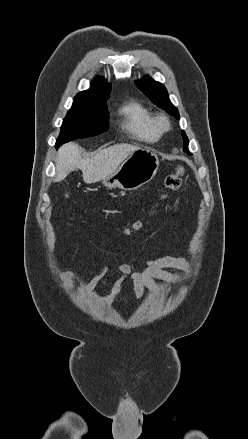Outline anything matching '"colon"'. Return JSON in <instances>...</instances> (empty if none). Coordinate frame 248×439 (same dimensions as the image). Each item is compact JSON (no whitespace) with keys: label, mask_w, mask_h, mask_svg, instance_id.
<instances>
[{"label":"colon","mask_w":248,"mask_h":439,"mask_svg":"<svg viewBox=\"0 0 248 439\" xmlns=\"http://www.w3.org/2000/svg\"><path fill=\"white\" fill-rule=\"evenodd\" d=\"M185 174L184 167L180 166L176 169V171L170 174L165 180L166 192L161 196L163 201H166L169 198V193L174 192L179 189L181 186V180L183 175ZM143 227V222H136L131 228L125 229L122 231L123 235L129 236L138 231H140Z\"/></svg>","instance_id":"obj_1"}]
</instances>
